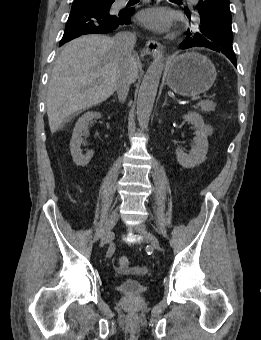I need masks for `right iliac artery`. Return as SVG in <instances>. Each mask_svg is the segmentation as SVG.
I'll return each mask as SVG.
<instances>
[{
    "mask_svg": "<svg viewBox=\"0 0 261 340\" xmlns=\"http://www.w3.org/2000/svg\"><path fill=\"white\" fill-rule=\"evenodd\" d=\"M114 249H115L114 244H111L108 251H107V257H110L113 254Z\"/></svg>",
    "mask_w": 261,
    "mask_h": 340,
    "instance_id": "obj_1",
    "label": "right iliac artery"
}]
</instances>
